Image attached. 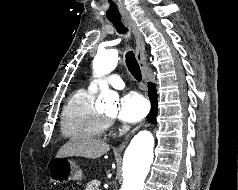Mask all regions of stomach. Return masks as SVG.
<instances>
[{
	"label": "stomach",
	"instance_id": "1",
	"mask_svg": "<svg viewBox=\"0 0 238 190\" xmlns=\"http://www.w3.org/2000/svg\"><path fill=\"white\" fill-rule=\"evenodd\" d=\"M47 170L51 179L57 183L78 181L83 177L81 168L75 161L64 157H55L47 163Z\"/></svg>",
	"mask_w": 238,
	"mask_h": 190
}]
</instances>
